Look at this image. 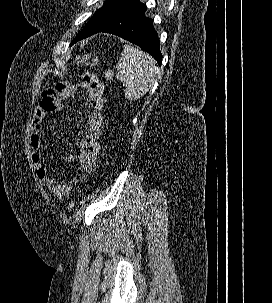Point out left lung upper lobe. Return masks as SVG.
Here are the masks:
<instances>
[{
    "mask_svg": "<svg viewBox=\"0 0 272 303\" xmlns=\"http://www.w3.org/2000/svg\"><path fill=\"white\" fill-rule=\"evenodd\" d=\"M138 3H140L139 0H107L105 4L94 13V15L87 22V24L84 26L81 32L73 39L72 43L75 42L76 39L80 37L82 34L91 30L93 27H95L103 20L121 11L129 9Z\"/></svg>",
    "mask_w": 272,
    "mask_h": 303,
    "instance_id": "left-lung-upper-lobe-1",
    "label": "left lung upper lobe"
}]
</instances>
